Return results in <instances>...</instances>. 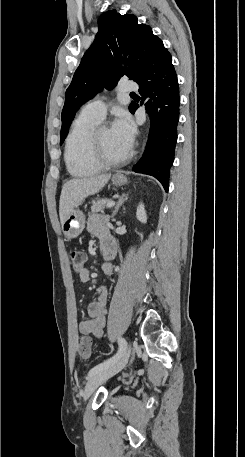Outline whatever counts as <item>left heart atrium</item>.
Masks as SVG:
<instances>
[{
  "mask_svg": "<svg viewBox=\"0 0 245 457\" xmlns=\"http://www.w3.org/2000/svg\"><path fill=\"white\" fill-rule=\"evenodd\" d=\"M112 131L127 148L131 146L134 136V126L132 120L126 113L121 112L118 114L113 124Z\"/></svg>",
  "mask_w": 245,
  "mask_h": 457,
  "instance_id": "1",
  "label": "left heart atrium"
}]
</instances>
